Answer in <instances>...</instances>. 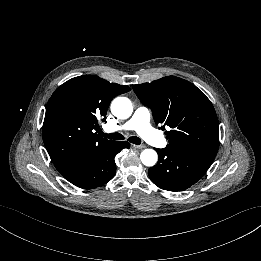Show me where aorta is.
Returning a JSON list of instances; mask_svg holds the SVG:
<instances>
[{
    "instance_id": "obj_1",
    "label": "aorta",
    "mask_w": 261,
    "mask_h": 261,
    "mask_svg": "<svg viewBox=\"0 0 261 261\" xmlns=\"http://www.w3.org/2000/svg\"><path fill=\"white\" fill-rule=\"evenodd\" d=\"M111 112L119 119H127L132 115L133 106L126 97H117L111 103ZM141 162L148 167L154 166L158 160V155L153 149H145L140 155Z\"/></svg>"
}]
</instances>
